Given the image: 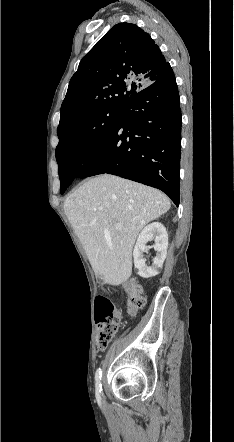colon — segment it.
<instances>
[{
  "label": "colon",
  "instance_id": "obj_1",
  "mask_svg": "<svg viewBox=\"0 0 234 442\" xmlns=\"http://www.w3.org/2000/svg\"><path fill=\"white\" fill-rule=\"evenodd\" d=\"M128 293V314L135 316L146 304L142 288L135 281H130L126 285ZM96 324L97 338L96 346L99 350H104L115 336L119 322L120 313L115 309L111 300L103 295L96 298Z\"/></svg>",
  "mask_w": 234,
  "mask_h": 442
}]
</instances>
